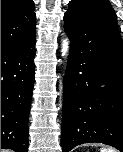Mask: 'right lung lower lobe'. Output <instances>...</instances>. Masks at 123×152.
<instances>
[{
    "instance_id": "right-lung-lower-lobe-1",
    "label": "right lung lower lobe",
    "mask_w": 123,
    "mask_h": 152,
    "mask_svg": "<svg viewBox=\"0 0 123 152\" xmlns=\"http://www.w3.org/2000/svg\"><path fill=\"white\" fill-rule=\"evenodd\" d=\"M35 35L1 47V149L28 151Z\"/></svg>"
}]
</instances>
